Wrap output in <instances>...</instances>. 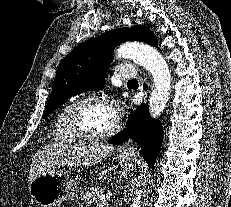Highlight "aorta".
<instances>
[{
  "instance_id": "obj_1",
  "label": "aorta",
  "mask_w": 231,
  "mask_h": 207,
  "mask_svg": "<svg viewBox=\"0 0 231 207\" xmlns=\"http://www.w3.org/2000/svg\"><path fill=\"white\" fill-rule=\"evenodd\" d=\"M116 55L120 58L133 59L150 72L153 77V88L149 97V113L154 118L159 117L167 105L171 88V74L165 59L153 47L138 42L122 44L117 49ZM142 193L141 188L136 190L131 207H141Z\"/></svg>"
}]
</instances>
